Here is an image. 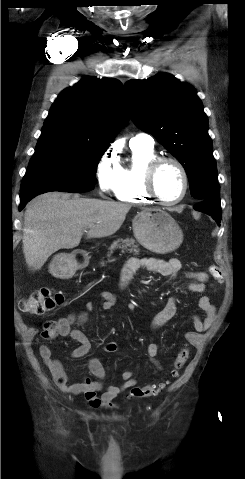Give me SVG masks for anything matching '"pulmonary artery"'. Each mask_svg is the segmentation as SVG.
<instances>
[{
    "instance_id": "e3ab8cb5",
    "label": "pulmonary artery",
    "mask_w": 245,
    "mask_h": 479,
    "mask_svg": "<svg viewBox=\"0 0 245 479\" xmlns=\"http://www.w3.org/2000/svg\"><path fill=\"white\" fill-rule=\"evenodd\" d=\"M130 144L141 145L145 147H153L154 139L146 133H138L130 139Z\"/></svg>"
}]
</instances>
